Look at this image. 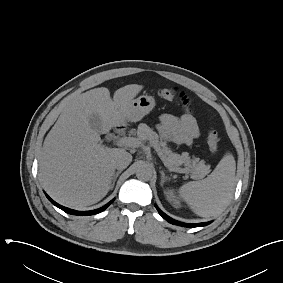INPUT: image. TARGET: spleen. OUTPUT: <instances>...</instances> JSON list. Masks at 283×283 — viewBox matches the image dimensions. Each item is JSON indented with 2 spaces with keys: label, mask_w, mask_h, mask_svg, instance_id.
Segmentation results:
<instances>
[{
  "label": "spleen",
  "mask_w": 283,
  "mask_h": 283,
  "mask_svg": "<svg viewBox=\"0 0 283 283\" xmlns=\"http://www.w3.org/2000/svg\"><path fill=\"white\" fill-rule=\"evenodd\" d=\"M235 170L233 155L226 153L207 178L185 183L179 188V195L198 216H216L233 195Z\"/></svg>",
  "instance_id": "1"
}]
</instances>
